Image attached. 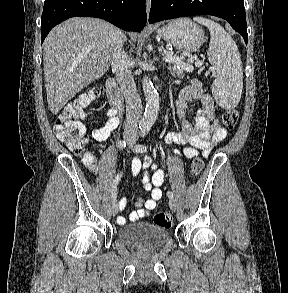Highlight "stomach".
<instances>
[{
  "label": "stomach",
  "instance_id": "stomach-1",
  "mask_svg": "<svg viewBox=\"0 0 288 293\" xmlns=\"http://www.w3.org/2000/svg\"><path fill=\"white\" fill-rule=\"evenodd\" d=\"M157 33L167 43L188 53L197 51L205 41L203 29L186 18L176 19L158 28Z\"/></svg>",
  "mask_w": 288,
  "mask_h": 293
}]
</instances>
